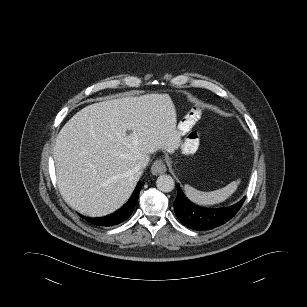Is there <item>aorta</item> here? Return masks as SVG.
<instances>
[{
	"label": "aorta",
	"mask_w": 307,
	"mask_h": 307,
	"mask_svg": "<svg viewBox=\"0 0 307 307\" xmlns=\"http://www.w3.org/2000/svg\"><path fill=\"white\" fill-rule=\"evenodd\" d=\"M156 186L162 192H171L175 187V182L170 175L163 174L157 178Z\"/></svg>",
	"instance_id": "aorta-1"
}]
</instances>
